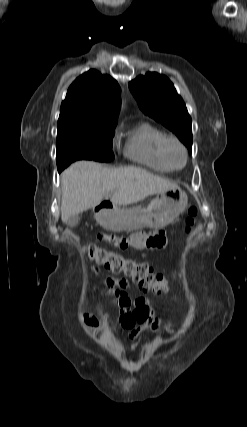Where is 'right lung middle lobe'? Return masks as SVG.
<instances>
[{
    "label": "right lung middle lobe",
    "mask_w": 247,
    "mask_h": 427,
    "mask_svg": "<svg viewBox=\"0 0 247 427\" xmlns=\"http://www.w3.org/2000/svg\"><path fill=\"white\" fill-rule=\"evenodd\" d=\"M117 124H102L76 115H60L57 124V166L63 170L71 162L114 159L112 137Z\"/></svg>",
    "instance_id": "obj_1"
}]
</instances>
